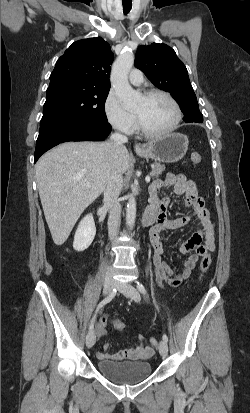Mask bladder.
<instances>
[{
  "label": "bladder",
  "mask_w": 250,
  "mask_h": 413,
  "mask_svg": "<svg viewBox=\"0 0 250 413\" xmlns=\"http://www.w3.org/2000/svg\"><path fill=\"white\" fill-rule=\"evenodd\" d=\"M98 370L107 378L118 384H134L145 380L151 373L148 361H113L100 360Z\"/></svg>",
  "instance_id": "obj_1"
}]
</instances>
